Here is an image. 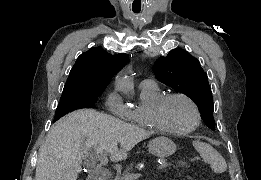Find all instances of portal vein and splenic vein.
Masks as SVG:
<instances>
[{
  "label": "portal vein and splenic vein",
  "mask_w": 261,
  "mask_h": 180,
  "mask_svg": "<svg viewBox=\"0 0 261 180\" xmlns=\"http://www.w3.org/2000/svg\"><path fill=\"white\" fill-rule=\"evenodd\" d=\"M104 154V158L100 160V162H105V156H108L109 152H102ZM168 166H172V161H163L160 163V165H154V169H152V172H155V170H167ZM146 174H148V171L141 172L139 174L138 172H133L132 174H124V180H136L142 179V177H146Z\"/></svg>",
  "instance_id": "18ae733b"
}]
</instances>
